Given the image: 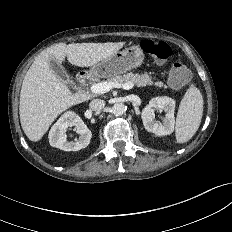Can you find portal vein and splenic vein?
Here are the masks:
<instances>
[{
  "label": "portal vein and splenic vein",
  "instance_id": "1",
  "mask_svg": "<svg viewBox=\"0 0 232 232\" xmlns=\"http://www.w3.org/2000/svg\"><path fill=\"white\" fill-rule=\"evenodd\" d=\"M121 87L125 90H129L134 87V83L128 82L125 84H119L114 82H101V83L93 84L90 87V90L92 93L95 94H104L109 92L112 88H121Z\"/></svg>",
  "mask_w": 232,
  "mask_h": 232
}]
</instances>
